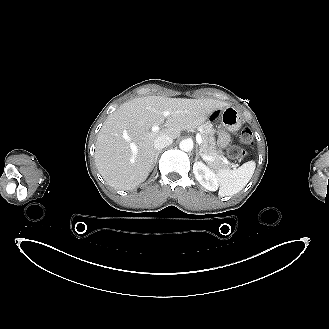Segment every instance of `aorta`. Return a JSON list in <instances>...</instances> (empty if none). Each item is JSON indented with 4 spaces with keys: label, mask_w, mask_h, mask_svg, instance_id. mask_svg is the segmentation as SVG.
I'll return each mask as SVG.
<instances>
[{
    "label": "aorta",
    "mask_w": 329,
    "mask_h": 329,
    "mask_svg": "<svg viewBox=\"0 0 329 329\" xmlns=\"http://www.w3.org/2000/svg\"><path fill=\"white\" fill-rule=\"evenodd\" d=\"M179 147L182 151L190 152L193 149V141L191 139H184L180 142Z\"/></svg>",
    "instance_id": "obj_1"
}]
</instances>
